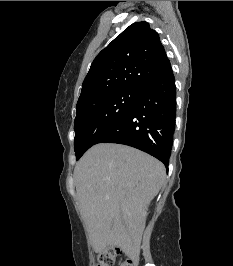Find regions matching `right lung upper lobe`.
Returning a JSON list of instances; mask_svg holds the SVG:
<instances>
[{
    "label": "right lung upper lobe",
    "mask_w": 233,
    "mask_h": 266,
    "mask_svg": "<svg viewBox=\"0 0 233 266\" xmlns=\"http://www.w3.org/2000/svg\"><path fill=\"white\" fill-rule=\"evenodd\" d=\"M170 68L158 33L147 22L134 23L96 56L77 104L109 91L142 90Z\"/></svg>",
    "instance_id": "right-lung-upper-lobe-1"
}]
</instances>
